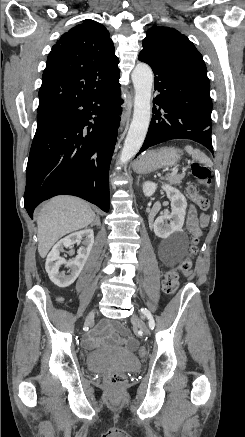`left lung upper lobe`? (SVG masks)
Listing matches in <instances>:
<instances>
[{
    "label": "left lung upper lobe",
    "mask_w": 245,
    "mask_h": 437,
    "mask_svg": "<svg viewBox=\"0 0 245 437\" xmlns=\"http://www.w3.org/2000/svg\"><path fill=\"white\" fill-rule=\"evenodd\" d=\"M140 54L210 87L202 55L185 35L174 28L153 26L148 29Z\"/></svg>",
    "instance_id": "1"
}]
</instances>
